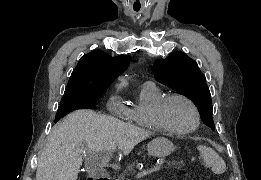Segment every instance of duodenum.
<instances>
[{
    "mask_svg": "<svg viewBox=\"0 0 261 180\" xmlns=\"http://www.w3.org/2000/svg\"><path fill=\"white\" fill-rule=\"evenodd\" d=\"M86 180H109V176L107 173H92Z\"/></svg>",
    "mask_w": 261,
    "mask_h": 180,
    "instance_id": "obj_1",
    "label": "duodenum"
}]
</instances>
